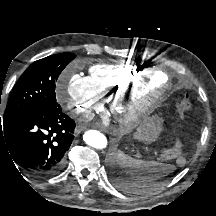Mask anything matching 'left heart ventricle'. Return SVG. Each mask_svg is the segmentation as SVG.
I'll return each mask as SVG.
<instances>
[{"label":"left heart ventricle","mask_w":216,"mask_h":216,"mask_svg":"<svg viewBox=\"0 0 216 216\" xmlns=\"http://www.w3.org/2000/svg\"><path fill=\"white\" fill-rule=\"evenodd\" d=\"M165 81H166V77L163 74H157L153 79L151 89L158 90L165 84Z\"/></svg>","instance_id":"left-heart-ventricle-1"}]
</instances>
